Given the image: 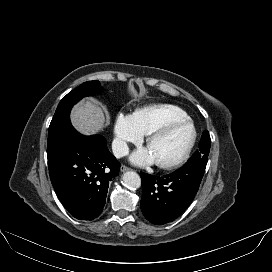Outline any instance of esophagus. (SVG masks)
Returning a JSON list of instances; mask_svg holds the SVG:
<instances>
[{
	"label": "esophagus",
	"instance_id": "1",
	"mask_svg": "<svg viewBox=\"0 0 272 272\" xmlns=\"http://www.w3.org/2000/svg\"><path fill=\"white\" fill-rule=\"evenodd\" d=\"M120 170H121V172H126V171L131 170V168H129V167L123 165V166H121Z\"/></svg>",
	"mask_w": 272,
	"mask_h": 272
}]
</instances>
